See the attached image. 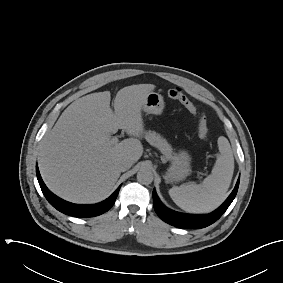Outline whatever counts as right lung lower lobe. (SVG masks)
I'll use <instances>...</instances> for the list:
<instances>
[{
	"label": "right lung lower lobe",
	"mask_w": 283,
	"mask_h": 283,
	"mask_svg": "<svg viewBox=\"0 0 283 283\" xmlns=\"http://www.w3.org/2000/svg\"><path fill=\"white\" fill-rule=\"evenodd\" d=\"M36 174L41 190L44 196L46 197V199L48 200V202L58 211L74 217H93L108 211L115 203V200L117 198L120 189L119 187L108 199H106L101 203L94 205H78L64 201L61 198L54 195L51 191H49V189L46 187L40 176L37 166H36Z\"/></svg>",
	"instance_id": "right-lung-lower-lobe-1"
}]
</instances>
